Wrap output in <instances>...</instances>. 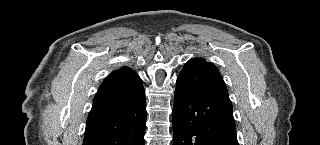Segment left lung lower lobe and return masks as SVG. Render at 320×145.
Instances as JSON below:
<instances>
[{
	"label": "left lung lower lobe",
	"instance_id": "obj_1",
	"mask_svg": "<svg viewBox=\"0 0 320 145\" xmlns=\"http://www.w3.org/2000/svg\"><path fill=\"white\" fill-rule=\"evenodd\" d=\"M172 122L174 145H238L232 103L212 63L192 58L184 65Z\"/></svg>",
	"mask_w": 320,
	"mask_h": 145
}]
</instances>
